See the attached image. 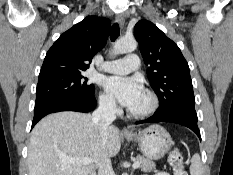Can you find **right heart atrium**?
Instances as JSON below:
<instances>
[{"label":"right heart atrium","instance_id":"right-heart-atrium-1","mask_svg":"<svg viewBox=\"0 0 233 175\" xmlns=\"http://www.w3.org/2000/svg\"><path fill=\"white\" fill-rule=\"evenodd\" d=\"M99 105L107 112L114 113L117 111V103L113 96L106 92H101L99 95Z\"/></svg>","mask_w":233,"mask_h":175}]
</instances>
